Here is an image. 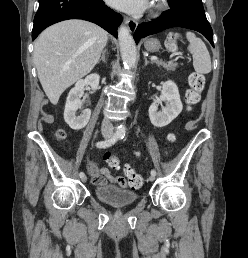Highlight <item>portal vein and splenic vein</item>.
Wrapping results in <instances>:
<instances>
[{
	"label": "portal vein and splenic vein",
	"instance_id": "1",
	"mask_svg": "<svg viewBox=\"0 0 248 258\" xmlns=\"http://www.w3.org/2000/svg\"><path fill=\"white\" fill-rule=\"evenodd\" d=\"M150 59L153 60V61H156V60H158V57L152 56Z\"/></svg>",
	"mask_w": 248,
	"mask_h": 258
}]
</instances>
